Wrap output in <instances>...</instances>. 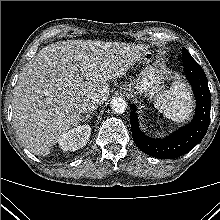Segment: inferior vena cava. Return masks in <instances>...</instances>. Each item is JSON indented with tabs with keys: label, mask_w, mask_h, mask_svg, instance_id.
<instances>
[{
	"label": "inferior vena cava",
	"mask_w": 220,
	"mask_h": 220,
	"mask_svg": "<svg viewBox=\"0 0 220 220\" xmlns=\"http://www.w3.org/2000/svg\"><path fill=\"white\" fill-rule=\"evenodd\" d=\"M99 104H100V100L96 96L91 97L85 100L84 102H82L81 104L82 112L94 111L95 109H97Z\"/></svg>",
	"instance_id": "inferior-vena-cava-1"
}]
</instances>
